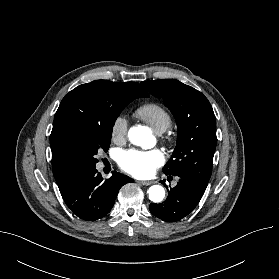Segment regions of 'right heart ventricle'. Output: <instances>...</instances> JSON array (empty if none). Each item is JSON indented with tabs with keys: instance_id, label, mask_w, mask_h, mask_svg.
<instances>
[{
	"instance_id": "1",
	"label": "right heart ventricle",
	"mask_w": 279,
	"mask_h": 279,
	"mask_svg": "<svg viewBox=\"0 0 279 279\" xmlns=\"http://www.w3.org/2000/svg\"><path fill=\"white\" fill-rule=\"evenodd\" d=\"M134 114L146 122L157 133H162L171 126L169 112L158 103H145L139 106Z\"/></svg>"
}]
</instances>
